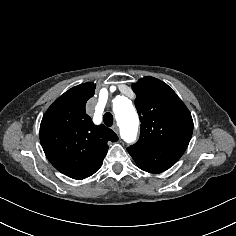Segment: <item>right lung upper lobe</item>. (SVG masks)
<instances>
[{
    "label": "right lung upper lobe",
    "mask_w": 236,
    "mask_h": 236,
    "mask_svg": "<svg viewBox=\"0 0 236 236\" xmlns=\"http://www.w3.org/2000/svg\"><path fill=\"white\" fill-rule=\"evenodd\" d=\"M96 85L87 82L60 96L46 111L40 124V142L52 165L73 179H84L102 165L108 141L117 135L104 125L95 126L85 105Z\"/></svg>",
    "instance_id": "1"
}]
</instances>
